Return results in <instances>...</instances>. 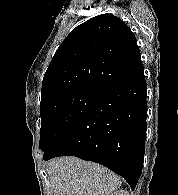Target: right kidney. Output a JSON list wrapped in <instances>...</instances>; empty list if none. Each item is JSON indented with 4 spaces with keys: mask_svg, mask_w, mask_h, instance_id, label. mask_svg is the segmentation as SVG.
Segmentation results:
<instances>
[{
    "mask_svg": "<svg viewBox=\"0 0 178 195\" xmlns=\"http://www.w3.org/2000/svg\"><path fill=\"white\" fill-rule=\"evenodd\" d=\"M111 195H129V193L126 190H118L113 192Z\"/></svg>",
    "mask_w": 178,
    "mask_h": 195,
    "instance_id": "obj_1",
    "label": "right kidney"
}]
</instances>
